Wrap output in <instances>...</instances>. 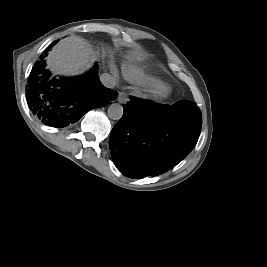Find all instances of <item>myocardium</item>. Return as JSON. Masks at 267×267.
Instances as JSON below:
<instances>
[{
	"mask_svg": "<svg viewBox=\"0 0 267 267\" xmlns=\"http://www.w3.org/2000/svg\"><path fill=\"white\" fill-rule=\"evenodd\" d=\"M170 93V90L167 87L164 86H157L152 91V96L156 99H164L166 98Z\"/></svg>",
	"mask_w": 267,
	"mask_h": 267,
	"instance_id": "1",
	"label": "myocardium"
}]
</instances>
